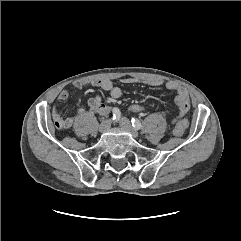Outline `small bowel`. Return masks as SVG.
<instances>
[{"label":"small bowel","instance_id":"small-bowel-1","mask_svg":"<svg viewBox=\"0 0 241 241\" xmlns=\"http://www.w3.org/2000/svg\"><path fill=\"white\" fill-rule=\"evenodd\" d=\"M140 82L139 80L126 77L121 79V83L125 85L134 84ZM145 84H148L153 87H161L165 86L167 89L175 91V103L179 109V115H185L190 109V99L188 96L187 91L185 88L180 86L178 83L174 81H163L161 79H147L143 81ZM73 87L76 89H81L84 86L91 85L93 87L109 91L110 96L112 99L116 100L119 99L122 95V90L119 86H115L112 81L108 79H78L72 83ZM69 92L67 90H62L58 94V100L60 102H64L68 99ZM86 113H98L102 116H106L110 113V108L102 103L101 97L99 95L92 96L87 103L86 108H82L79 110V114H86ZM53 118L55 124L60 129H68L73 124V118L71 117H63L60 113L59 109L55 107L53 109ZM177 121L174 120V123Z\"/></svg>","mask_w":241,"mask_h":241}]
</instances>
